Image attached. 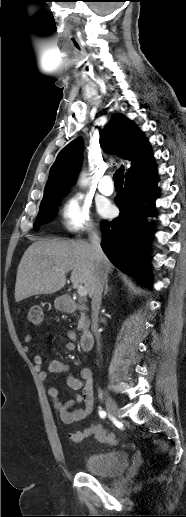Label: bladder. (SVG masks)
Returning a JSON list of instances; mask_svg holds the SVG:
<instances>
[{
    "label": "bladder",
    "mask_w": 186,
    "mask_h": 517,
    "mask_svg": "<svg viewBox=\"0 0 186 517\" xmlns=\"http://www.w3.org/2000/svg\"><path fill=\"white\" fill-rule=\"evenodd\" d=\"M129 464L126 451L90 454L85 458V470L98 477H115L122 474Z\"/></svg>",
    "instance_id": "31cf9c89"
}]
</instances>
